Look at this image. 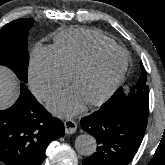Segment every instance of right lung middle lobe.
<instances>
[{
    "instance_id": "right-lung-middle-lobe-1",
    "label": "right lung middle lobe",
    "mask_w": 165,
    "mask_h": 165,
    "mask_svg": "<svg viewBox=\"0 0 165 165\" xmlns=\"http://www.w3.org/2000/svg\"><path fill=\"white\" fill-rule=\"evenodd\" d=\"M34 20L22 18L12 21L0 30V65L12 69L18 78L28 81V31Z\"/></svg>"
}]
</instances>
